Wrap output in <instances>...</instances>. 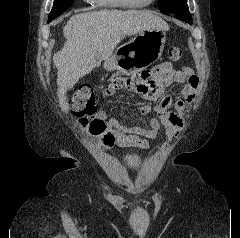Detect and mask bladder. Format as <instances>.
Masks as SVG:
<instances>
[{
    "label": "bladder",
    "instance_id": "1",
    "mask_svg": "<svg viewBox=\"0 0 240 238\" xmlns=\"http://www.w3.org/2000/svg\"><path fill=\"white\" fill-rule=\"evenodd\" d=\"M122 161L128 169L134 170L140 166L142 159L137 153L127 152L123 155Z\"/></svg>",
    "mask_w": 240,
    "mask_h": 238
}]
</instances>
